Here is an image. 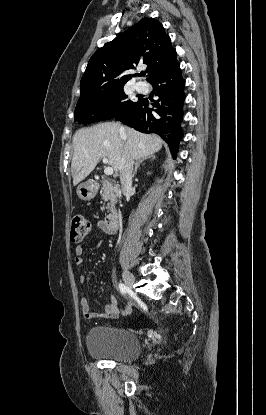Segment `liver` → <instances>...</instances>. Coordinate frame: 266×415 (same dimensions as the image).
<instances>
[{
    "mask_svg": "<svg viewBox=\"0 0 266 415\" xmlns=\"http://www.w3.org/2000/svg\"><path fill=\"white\" fill-rule=\"evenodd\" d=\"M162 143L157 135L143 134L115 122L81 128L73 136V185L84 180L101 158H108L111 167L118 172L126 155L139 160L158 152Z\"/></svg>",
    "mask_w": 266,
    "mask_h": 415,
    "instance_id": "obj_1",
    "label": "liver"
}]
</instances>
